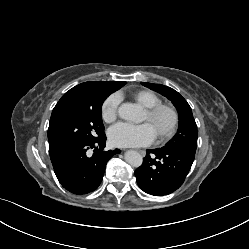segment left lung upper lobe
<instances>
[{
	"label": "left lung upper lobe",
	"instance_id": "obj_1",
	"mask_svg": "<svg viewBox=\"0 0 249 249\" xmlns=\"http://www.w3.org/2000/svg\"><path fill=\"white\" fill-rule=\"evenodd\" d=\"M142 85L162 94L172 101L179 114V128L176 135L162 148L184 149L196 152L197 125L192 110L186 100L174 89L161 85L144 83Z\"/></svg>",
	"mask_w": 249,
	"mask_h": 249
}]
</instances>
